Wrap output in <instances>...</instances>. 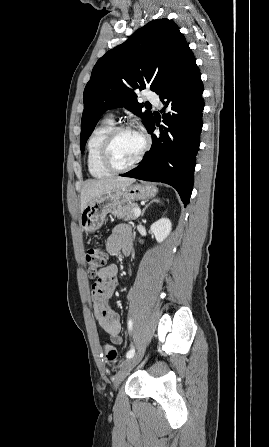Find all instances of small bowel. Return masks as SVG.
Segmentation results:
<instances>
[{
  "label": "small bowel",
  "instance_id": "small-bowel-1",
  "mask_svg": "<svg viewBox=\"0 0 269 447\" xmlns=\"http://www.w3.org/2000/svg\"><path fill=\"white\" fill-rule=\"evenodd\" d=\"M130 230L123 225L116 227L107 244L109 252L113 255L119 250L128 252L131 249ZM118 268L110 264L103 268L97 275V280L91 291V301L94 315L99 326L109 334L111 341L116 345H122L120 315L111 309L110 301L117 286Z\"/></svg>",
  "mask_w": 269,
  "mask_h": 447
}]
</instances>
